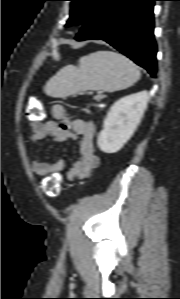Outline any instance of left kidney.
<instances>
[{
  "mask_svg": "<svg viewBox=\"0 0 180 299\" xmlns=\"http://www.w3.org/2000/svg\"><path fill=\"white\" fill-rule=\"evenodd\" d=\"M149 94L141 91L116 101L98 135V147L105 153L118 152L131 138L147 107Z\"/></svg>",
  "mask_w": 180,
  "mask_h": 299,
  "instance_id": "obj_1",
  "label": "left kidney"
}]
</instances>
